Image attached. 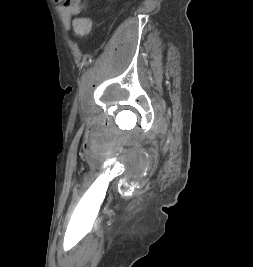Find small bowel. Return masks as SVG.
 Returning a JSON list of instances; mask_svg holds the SVG:
<instances>
[{"label": "small bowel", "mask_w": 253, "mask_h": 267, "mask_svg": "<svg viewBox=\"0 0 253 267\" xmlns=\"http://www.w3.org/2000/svg\"><path fill=\"white\" fill-rule=\"evenodd\" d=\"M65 28L69 29L74 16L83 10L82 0H54Z\"/></svg>", "instance_id": "c3829d8e"}]
</instances>
